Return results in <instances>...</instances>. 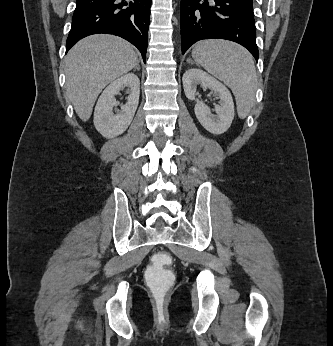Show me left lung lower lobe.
I'll use <instances>...</instances> for the list:
<instances>
[{"label": "left lung lower lobe", "mask_w": 333, "mask_h": 346, "mask_svg": "<svg viewBox=\"0 0 333 346\" xmlns=\"http://www.w3.org/2000/svg\"><path fill=\"white\" fill-rule=\"evenodd\" d=\"M226 39L258 61L253 4L247 0H181L182 53L203 39Z\"/></svg>", "instance_id": "0a47b994"}]
</instances>
